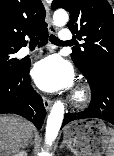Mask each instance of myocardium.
Instances as JSON below:
<instances>
[{
  "mask_svg": "<svg viewBox=\"0 0 114 156\" xmlns=\"http://www.w3.org/2000/svg\"><path fill=\"white\" fill-rule=\"evenodd\" d=\"M90 100V93L87 87L79 86L71 96V103L75 107H84Z\"/></svg>",
  "mask_w": 114,
  "mask_h": 156,
  "instance_id": "f54148a6",
  "label": "myocardium"
}]
</instances>
